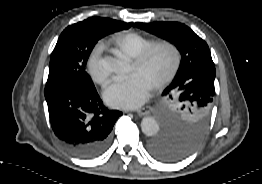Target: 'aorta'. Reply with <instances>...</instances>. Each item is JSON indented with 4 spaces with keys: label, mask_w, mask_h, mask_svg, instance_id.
Returning a JSON list of instances; mask_svg holds the SVG:
<instances>
[{
    "label": "aorta",
    "mask_w": 262,
    "mask_h": 184,
    "mask_svg": "<svg viewBox=\"0 0 262 184\" xmlns=\"http://www.w3.org/2000/svg\"><path fill=\"white\" fill-rule=\"evenodd\" d=\"M125 68V65L121 64L120 68H115L114 71L121 72ZM159 129V123L153 117H144L142 119L141 130L146 136H155L159 132Z\"/></svg>",
    "instance_id": "aorta-1"
}]
</instances>
